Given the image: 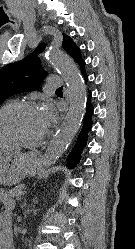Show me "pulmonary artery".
Returning a JSON list of instances; mask_svg holds the SVG:
<instances>
[{"label": "pulmonary artery", "mask_w": 135, "mask_h": 249, "mask_svg": "<svg viewBox=\"0 0 135 249\" xmlns=\"http://www.w3.org/2000/svg\"><path fill=\"white\" fill-rule=\"evenodd\" d=\"M48 86L49 87H60L61 86V79L59 76H52L48 79Z\"/></svg>", "instance_id": "1"}]
</instances>
